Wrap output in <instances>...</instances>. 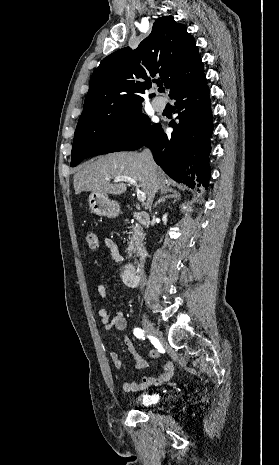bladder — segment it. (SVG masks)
<instances>
[{
    "label": "bladder",
    "mask_w": 279,
    "mask_h": 465,
    "mask_svg": "<svg viewBox=\"0 0 279 465\" xmlns=\"http://www.w3.org/2000/svg\"><path fill=\"white\" fill-rule=\"evenodd\" d=\"M157 397L158 395L155 393L143 394L137 398V404L144 407L151 406L155 404Z\"/></svg>",
    "instance_id": "1"
}]
</instances>
